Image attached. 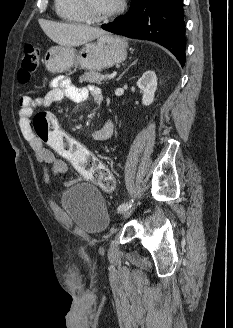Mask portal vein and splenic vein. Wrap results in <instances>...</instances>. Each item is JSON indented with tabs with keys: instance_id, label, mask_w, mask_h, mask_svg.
<instances>
[{
	"instance_id": "18ae733b",
	"label": "portal vein and splenic vein",
	"mask_w": 233,
	"mask_h": 328,
	"mask_svg": "<svg viewBox=\"0 0 233 328\" xmlns=\"http://www.w3.org/2000/svg\"><path fill=\"white\" fill-rule=\"evenodd\" d=\"M116 72L112 73L111 75L108 76V79L111 80L116 76Z\"/></svg>"
}]
</instances>
